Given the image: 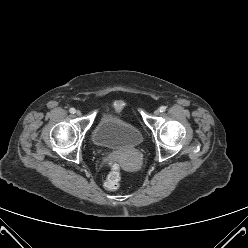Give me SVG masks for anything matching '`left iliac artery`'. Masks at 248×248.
Instances as JSON below:
<instances>
[{
  "label": "left iliac artery",
  "mask_w": 248,
  "mask_h": 248,
  "mask_svg": "<svg viewBox=\"0 0 248 248\" xmlns=\"http://www.w3.org/2000/svg\"><path fill=\"white\" fill-rule=\"evenodd\" d=\"M159 110H160V112H165L166 107H165V106H161V107L159 108Z\"/></svg>",
  "instance_id": "obj_1"
}]
</instances>
